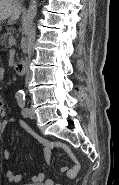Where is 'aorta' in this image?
<instances>
[{"mask_svg": "<svg viewBox=\"0 0 119 185\" xmlns=\"http://www.w3.org/2000/svg\"><path fill=\"white\" fill-rule=\"evenodd\" d=\"M37 7H38L37 0H31L28 11H27L26 16L24 18V23H23V27H24L25 32H28L31 28L33 20L37 15Z\"/></svg>", "mask_w": 119, "mask_h": 185, "instance_id": "aorta-1", "label": "aorta"}]
</instances>
